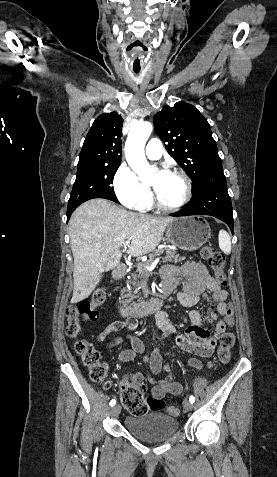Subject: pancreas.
<instances>
[{
    "instance_id": "cf45deb5",
    "label": "pancreas",
    "mask_w": 277,
    "mask_h": 477,
    "mask_svg": "<svg viewBox=\"0 0 277 477\" xmlns=\"http://www.w3.org/2000/svg\"><path fill=\"white\" fill-rule=\"evenodd\" d=\"M163 250H158L153 252L152 254L149 255V260L144 263V264H139L137 266L136 271L132 274V280L128 282L129 286L128 289H124L123 292H127L124 296H128L129 302H131V305L127 306L129 309H133L137 307V304L134 302V299L139 298V289L141 288L142 285V278L148 277L150 275V272L145 268L146 266H149L152 262H154L155 257L159 255ZM166 256L163 258V262H180L185 260V257H180L175 250L171 249H165ZM130 286L133 287L129 288ZM127 302V301H126Z\"/></svg>"
}]
</instances>
